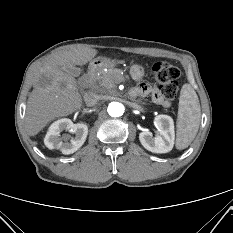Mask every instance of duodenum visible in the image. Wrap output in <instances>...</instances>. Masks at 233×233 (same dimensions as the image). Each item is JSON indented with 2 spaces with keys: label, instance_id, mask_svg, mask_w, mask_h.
Masks as SVG:
<instances>
[{
  "label": "duodenum",
  "instance_id": "obj_1",
  "mask_svg": "<svg viewBox=\"0 0 233 233\" xmlns=\"http://www.w3.org/2000/svg\"><path fill=\"white\" fill-rule=\"evenodd\" d=\"M102 63H103V61L99 60L90 66L88 73L86 75V82H85L86 89H89L92 86L94 79H95V76L97 74L98 68Z\"/></svg>",
  "mask_w": 233,
  "mask_h": 233
}]
</instances>
